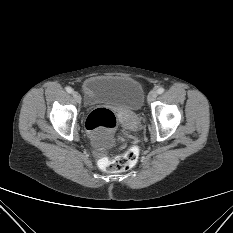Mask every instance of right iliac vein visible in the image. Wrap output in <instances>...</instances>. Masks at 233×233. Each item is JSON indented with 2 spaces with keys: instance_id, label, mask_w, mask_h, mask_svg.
Returning a JSON list of instances; mask_svg holds the SVG:
<instances>
[{
  "instance_id": "right-iliac-vein-1",
  "label": "right iliac vein",
  "mask_w": 233,
  "mask_h": 233,
  "mask_svg": "<svg viewBox=\"0 0 233 233\" xmlns=\"http://www.w3.org/2000/svg\"><path fill=\"white\" fill-rule=\"evenodd\" d=\"M72 95H73L74 99H75L78 103L81 102V96H80V94H79L77 91H73V92H72Z\"/></svg>"
}]
</instances>
